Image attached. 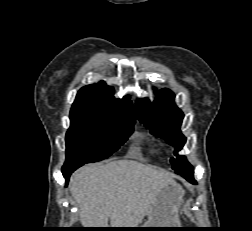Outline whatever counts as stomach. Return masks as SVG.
<instances>
[{"instance_id": "stomach-1", "label": "stomach", "mask_w": 252, "mask_h": 231, "mask_svg": "<svg viewBox=\"0 0 252 231\" xmlns=\"http://www.w3.org/2000/svg\"><path fill=\"white\" fill-rule=\"evenodd\" d=\"M184 190L174 181L164 186L151 205L148 221L139 228H179L178 211ZM173 230V229H142Z\"/></svg>"}]
</instances>
